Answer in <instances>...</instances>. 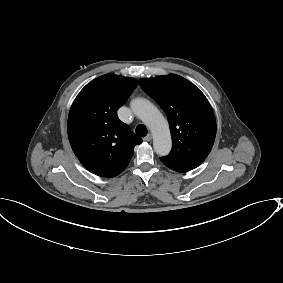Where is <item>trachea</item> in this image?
Instances as JSON below:
<instances>
[{
  "mask_svg": "<svg viewBox=\"0 0 283 283\" xmlns=\"http://www.w3.org/2000/svg\"><path fill=\"white\" fill-rule=\"evenodd\" d=\"M135 132H136V134H137L138 136H140V137H145V136L147 135V133H148V130H147V128H146L145 125L139 124V125L136 127Z\"/></svg>",
  "mask_w": 283,
  "mask_h": 283,
  "instance_id": "1",
  "label": "trachea"
}]
</instances>
